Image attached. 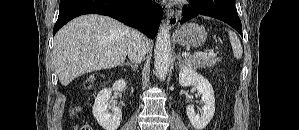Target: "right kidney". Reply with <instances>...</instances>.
I'll use <instances>...</instances> for the list:
<instances>
[{
  "label": "right kidney",
  "mask_w": 299,
  "mask_h": 130,
  "mask_svg": "<svg viewBox=\"0 0 299 130\" xmlns=\"http://www.w3.org/2000/svg\"><path fill=\"white\" fill-rule=\"evenodd\" d=\"M127 83L124 79L118 80L113 84L112 88L102 89L95 97V102L92 107V113L99 125L104 130H117L121 119V109L115 105H110L109 100L112 90L123 92L126 90ZM110 110V112H109Z\"/></svg>",
  "instance_id": "obj_1"
}]
</instances>
